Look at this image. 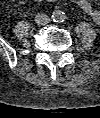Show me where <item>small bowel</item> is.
Instances as JSON below:
<instances>
[{
  "mask_svg": "<svg viewBox=\"0 0 100 118\" xmlns=\"http://www.w3.org/2000/svg\"><path fill=\"white\" fill-rule=\"evenodd\" d=\"M34 2H41L43 0H33ZM49 2H55L57 0H47ZM75 3L87 14L93 21L100 24V11L97 10L88 0H74Z\"/></svg>",
  "mask_w": 100,
  "mask_h": 118,
  "instance_id": "small-bowel-1",
  "label": "small bowel"
}]
</instances>
